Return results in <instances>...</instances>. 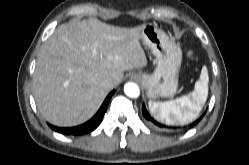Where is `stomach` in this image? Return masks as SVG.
Returning a JSON list of instances; mask_svg holds the SVG:
<instances>
[{
  "mask_svg": "<svg viewBox=\"0 0 249 165\" xmlns=\"http://www.w3.org/2000/svg\"><path fill=\"white\" fill-rule=\"evenodd\" d=\"M143 45L154 56L156 68L152 74L138 71L132 78L139 81L146 90L147 97H173L178 89V76L182 62L179 45L156 25L145 24L140 32Z\"/></svg>",
  "mask_w": 249,
  "mask_h": 165,
  "instance_id": "obj_1",
  "label": "stomach"
}]
</instances>
